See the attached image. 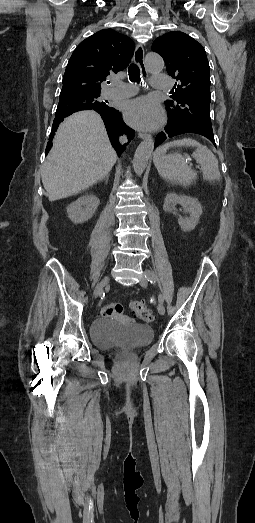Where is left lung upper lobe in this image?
<instances>
[{"label":"left lung upper lobe","mask_w":255,"mask_h":523,"mask_svg":"<svg viewBox=\"0 0 255 523\" xmlns=\"http://www.w3.org/2000/svg\"><path fill=\"white\" fill-rule=\"evenodd\" d=\"M152 50L163 57L168 74L180 83L177 87L175 84L176 88L171 92L172 100L165 101L171 121L194 123L213 134L210 67L202 45L183 32L171 31L158 37L152 44ZM171 121L168 120L167 126Z\"/></svg>","instance_id":"5c2ea615"}]
</instances>
